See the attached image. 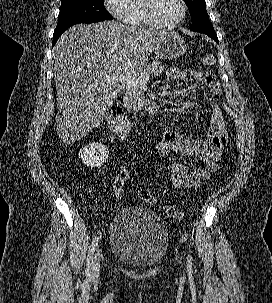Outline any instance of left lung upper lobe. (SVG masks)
I'll list each match as a JSON object with an SVG mask.
<instances>
[{
    "instance_id": "1",
    "label": "left lung upper lobe",
    "mask_w": 272,
    "mask_h": 303,
    "mask_svg": "<svg viewBox=\"0 0 272 303\" xmlns=\"http://www.w3.org/2000/svg\"><path fill=\"white\" fill-rule=\"evenodd\" d=\"M189 8L193 25L191 31L196 32H212L214 28L209 20L208 13L206 11L205 0H184Z\"/></svg>"
}]
</instances>
